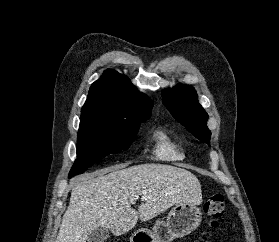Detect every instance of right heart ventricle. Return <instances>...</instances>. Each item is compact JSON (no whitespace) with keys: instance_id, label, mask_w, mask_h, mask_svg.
<instances>
[{"instance_id":"1","label":"right heart ventricle","mask_w":279,"mask_h":242,"mask_svg":"<svg viewBox=\"0 0 279 242\" xmlns=\"http://www.w3.org/2000/svg\"><path fill=\"white\" fill-rule=\"evenodd\" d=\"M153 154L156 159L166 162H180L186 158L183 145L164 128L153 132Z\"/></svg>"}]
</instances>
